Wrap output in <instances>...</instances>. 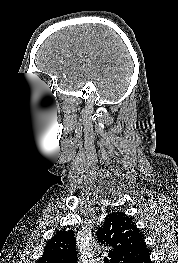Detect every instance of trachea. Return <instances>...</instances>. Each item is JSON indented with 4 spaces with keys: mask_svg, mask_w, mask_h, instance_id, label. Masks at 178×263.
Here are the masks:
<instances>
[{
    "mask_svg": "<svg viewBox=\"0 0 178 263\" xmlns=\"http://www.w3.org/2000/svg\"><path fill=\"white\" fill-rule=\"evenodd\" d=\"M104 263H109V260L106 258V259L104 260Z\"/></svg>",
    "mask_w": 178,
    "mask_h": 263,
    "instance_id": "obj_1",
    "label": "trachea"
}]
</instances>
